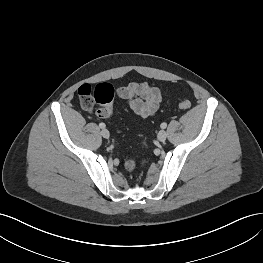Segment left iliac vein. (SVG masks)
<instances>
[{
  "label": "left iliac vein",
  "mask_w": 263,
  "mask_h": 263,
  "mask_svg": "<svg viewBox=\"0 0 263 263\" xmlns=\"http://www.w3.org/2000/svg\"><path fill=\"white\" fill-rule=\"evenodd\" d=\"M157 138H158V140L161 141V142L165 141L166 138H167V133H166V131H165V130L159 131V133H158V135H157Z\"/></svg>",
  "instance_id": "obj_1"
}]
</instances>
